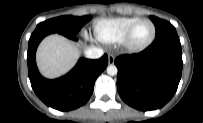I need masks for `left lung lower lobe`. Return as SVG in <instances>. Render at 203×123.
Returning <instances> with one entry per match:
<instances>
[{"mask_svg": "<svg viewBox=\"0 0 203 123\" xmlns=\"http://www.w3.org/2000/svg\"><path fill=\"white\" fill-rule=\"evenodd\" d=\"M117 89L122 100L141 111L163 107L175 94L182 73V50L177 33L167 32L138 54L121 55Z\"/></svg>", "mask_w": 203, "mask_h": 123, "instance_id": "left-lung-lower-lobe-1", "label": "left lung lower lobe"}]
</instances>
